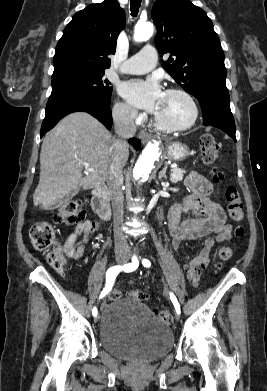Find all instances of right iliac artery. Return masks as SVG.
<instances>
[{
	"mask_svg": "<svg viewBox=\"0 0 267 391\" xmlns=\"http://www.w3.org/2000/svg\"><path fill=\"white\" fill-rule=\"evenodd\" d=\"M138 266H139L138 259L136 257H133L132 263L125 264L123 267L122 266H113V267L109 268L106 272V286H105L104 290L101 292L100 298H102L105 294H107L111 290V287L115 281V278L120 271L123 270L124 272H131V271L136 270L138 268ZM92 314H93V316L97 315L96 307L93 308Z\"/></svg>",
	"mask_w": 267,
	"mask_h": 391,
	"instance_id": "1",
	"label": "right iliac artery"
}]
</instances>
